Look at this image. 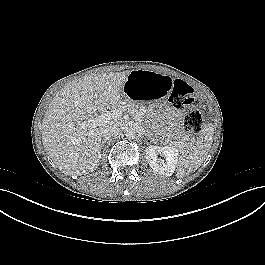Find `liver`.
Returning a JSON list of instances; mask_svg holds the SVG:
<instances>
[{"label":"liver","instance_id":"liver-1","mask_svg":"<svg viewBox=\"0 0 265 265\" xmlns=\"http://www.w3.org/2000/svg\"><path fill=\"white\" fill-rule=\"evenodd\" d=\"M130 71L85 76L66 84L50 102L42 123V142L55 165L66 175L93 172L101 158L100 130L82 122L97 110L115 106Z\"/></svg>","mask_w":265,"mask_h":265}]
</instances>
